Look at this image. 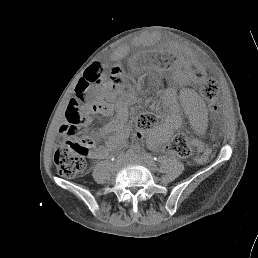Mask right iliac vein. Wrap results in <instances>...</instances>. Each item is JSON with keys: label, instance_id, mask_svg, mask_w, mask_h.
Returning a JSON list of instances; mask_svg holds the SVG:
<instances>
[{"label": "right iliac vein", "instance_id": "1", "mask_svg": "<svg viewBox=\"0 0 258 258\" xmlns=\"http://www.w3.org/2000/svg\"><path fill=\"white\" fill-rule=\"evenodd\" d=\"M116 164L121 167L123 165V161L122 160H116Z\"/></svg>", "mask_w": 258, "mask_h": 258}]
</instances>
